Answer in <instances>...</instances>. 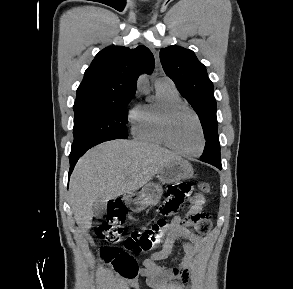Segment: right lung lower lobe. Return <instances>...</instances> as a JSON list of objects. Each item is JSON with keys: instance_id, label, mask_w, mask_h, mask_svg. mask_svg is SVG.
<instances>
[{"instance_id": "98d812e1", "label": "right lung lower lobe", "mask_w": 293, "mask_h": 289, "mask_svg": "<svg viewBox=\"0 0 293 289\" xmlns=\"http://www.w3.org/2000/svg\"><path fill=\"white\" fill-rule=\"evenodd\" d=\"M90 148H84V149H80V150H71L70 156H69V161H70V171H69V175L70 176L71 172L74 169V166L77 162V160Z\"/></svg>"}]
</instances>
